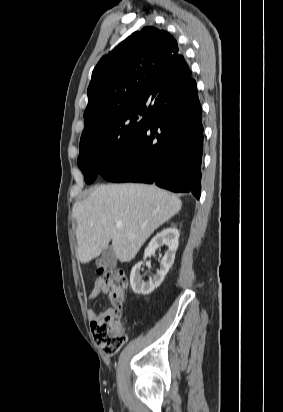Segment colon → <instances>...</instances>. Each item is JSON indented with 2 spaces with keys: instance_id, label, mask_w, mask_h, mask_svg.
I'll use <instances>...</instances> for the list:
<instances>
[{
  "instance_id": "1",
  "label": "colon",
  "mask_w": 283,
  "mask_h": 412,
  "mask_svg": "<svg viewBox=\"0 0 283 412\" xmlns=\"http://www.w3.org/2000/svg\"><path fill=\"white\" fill-rule=\"evenodd\" d=\"M110 291L113 308L103 317L91 323L95 343L105 354L113 356L125 344L127 337L121 322L122 308L126 300L127 278L119 269L101 270Z\"/></svg>"
}]
</instances>
